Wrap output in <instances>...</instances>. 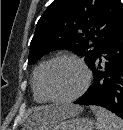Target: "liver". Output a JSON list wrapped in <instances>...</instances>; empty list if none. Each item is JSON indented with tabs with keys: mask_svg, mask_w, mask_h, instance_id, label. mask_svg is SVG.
Segmentation results:
<instances>
[{
	"mask_svg": "<svg viewBox=\"0 0 123 130\" xmlns=\"http://www.w3.org/2000/svg\"><path fill=\"white\" fill-rule=\"evenodd\" d=\"M82 111L83 108L76 105L41 106L34 110L26 127L32 130H48L51 126Z\"/></svg>",
	"mask_w": 123,
	"mask_h": 130,
	"instance_id": "obj_1",
	"label": "liver"
}]
</instances>
